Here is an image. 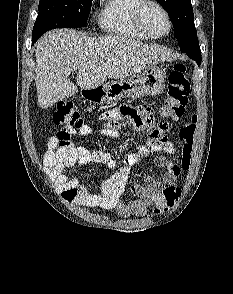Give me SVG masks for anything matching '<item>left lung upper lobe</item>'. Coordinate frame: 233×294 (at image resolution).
<instances>
[{
  "label": "left lung upper lobe",
  "instance_id": "left-lung-upper-lobe-1",
  "mask_svg": "<svg viewBox=\"0 0 233 294\" xmlns=\"http://www.w3.org/2000/svg\"><path fill=\"white\" fill-rule=\"evenodd\" d=\"M167 12L174 25L181 52L201 64V51L194 25L191 0H156Z\"/></svg>",
  "mask_w": 233,
  "mask_h": 294
}]
</instances>
